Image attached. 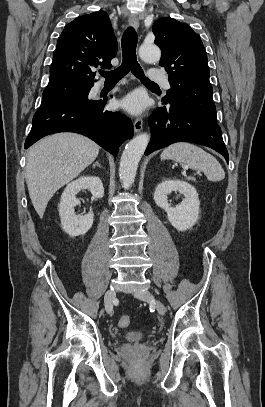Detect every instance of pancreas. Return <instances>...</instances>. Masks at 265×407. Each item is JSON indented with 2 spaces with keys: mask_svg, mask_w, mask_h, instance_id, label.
I'll use <instances>...</instances> for the list:
<instances>
[{
  "mask_svg": "<svg viewBox=\"0 0 265 407\" xmlns=\"http://www.w3.org/2000/svg\"><path fill=\"white\" fill-rule=\"evenodd\" d=\"M187 180H189V181H196V179L194 178V177H187Z\"/></svg>",
  "mask_w": 265,
  "mask_h": 407,
  "instance_id": "pancreas-1",
  "label": "pancreas"
}]
</instances>
